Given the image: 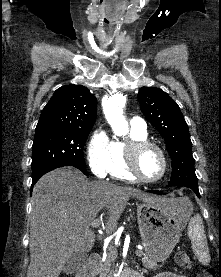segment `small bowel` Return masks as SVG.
Returning <instances> with one entry per match:
<instances>
[{
  "mask_svg": "<svg viewBox=\"0 0 221 277\" xmlns=\"http://www.w3.org/2000/svg\"><path fill=\"white\" fill-rule=\"evenodd\" d=\"M155 277H187V276L177 274V273H172V272H164L156 275Z\"/></svg>",
  "mask_w": 221,
  "mask_h": 277,
  "instance_id": "1",
  "label": "small bowel"
}]
</instances>
